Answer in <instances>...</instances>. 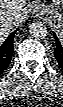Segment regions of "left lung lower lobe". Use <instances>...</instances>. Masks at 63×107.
Here are the masks:
<instances>
[{
	"mask_svg": "<svg viewBox=\"0 0 63 107\" xmlns=\"http://www.w3.org/2000/svg\"><path fill=\"white\" fill-rule=\"evenodd\" d=\"M55 36L56 48L54 51V55L56 60L58 61L59 66L63 69V46L60 44L59 39Z\"/></svg>",
	"mask_w": 63,
	"mask_h": 107,
	"instance_id": "1",
	"label": "left lung lower lobe"
}]
</instances>
